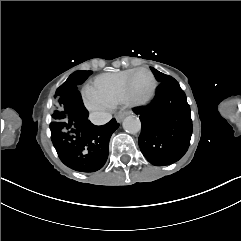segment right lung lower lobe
<instances>
[{
    "label": "right lung lower lobe",
    "instance_id": "1",
    "mask_svg": "<svg viewBox=\"0 0 241 241\" xmlns=\"http://www.w3.org/2000/svg\"><path fill=\"white\" fill-rule=\"evenodd\" d=\"M66 89L70 120L50 125L51 139L61 161L82 172L101 169L108 157L109 140L119 123L113 118L107 124L95 126L88 120L78 85Z\"/></svg>",
    "mask_w": 241,
    "mask_h": 241
}]
</instances>
